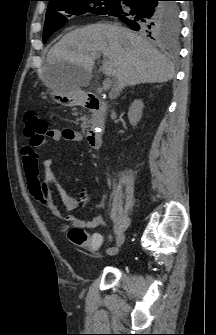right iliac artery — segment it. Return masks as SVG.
Masks as SVG:
<instances>
[{
    "label": "right iliac artery",
    "instance_id": "1",
    "mask_svg": "<svg viewBox=\"0 0 216 335\" xmlns=\"http://www.w3.org/2000/svg\"><path fill=\"white\" fill-rule=\"evenodd\" d=\"M116 252H117V250H116L115 247H110V248L107 249V253H108L109 255H115Z\"/></svg>",
    "mask_w": 216,
    "mask_h": 335
}]
</instances>
